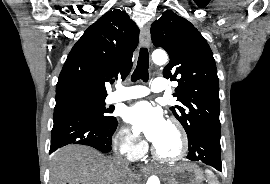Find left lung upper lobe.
<instances>
[{
    "mask_svg": "<svg viewBox=\"0 0 270 184\" xmlns=\"http://www.w3.org/2000/svg\"><path fill=\"white\" fill-rule=\"evenodd\" d=\"M151 37L156 47L169 54L163 75L179 83L173 96L181 103L170 110L183 125L188 141L201 132L220 135L219 79L207 41L192 23L171 10L151 25Z\"/></svg>",
    "mask_w": 270,
    "mask_h": 184,
    "instance_id": "1",
    "label": "left lung upper lobe"
}]
</instances>
